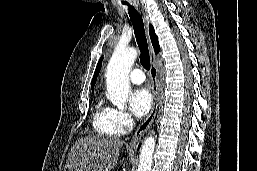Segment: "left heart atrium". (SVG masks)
Returning a JSON list of instances; mask_svg holds the SVG:
<instances>
[{
  "label": "left heart atrium",
  "mask_w": 257,
  "mask_h": 171,
  "mask_svg": "<svg viewBox=\"0 0 257 171\" xmlns=\"http://www.w3.org/2000/svg\"><path fill=\"white\" fill-rule=\"evenodd\" d=\"M130 108L137 117L144 116L152 106L151 93L146 88H138L130 93Z\"/></svg>",
  "instance_id": "obj_1"
}]
</instances>
